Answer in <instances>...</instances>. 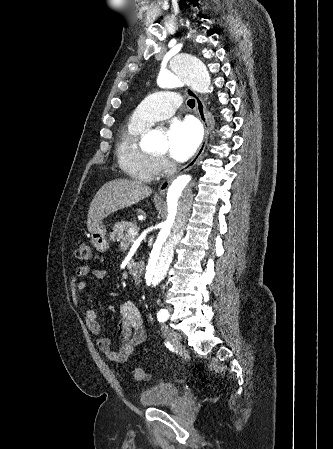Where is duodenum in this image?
Segmentation results:
<instances>
[{
  "label": "duodenum",
  "instance_id": "410a0bca",
  "mask_svg": "<svg viewBox=\"0 0 333 449\" xmlns=\"http://www.w3.org/2000/svg\"><path fill=\"white\" fill-rule=\"evenodd\" d=\"M143 269H144V267H143V265L141 263L133 264L130 267V274H131V276L133 278V281L135 283H139L141 281L142 274H143Z\"/></svg>",
  "mask_w": 333,
  "mask_h": 449
}]
</instances>
